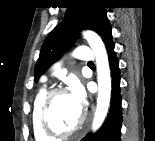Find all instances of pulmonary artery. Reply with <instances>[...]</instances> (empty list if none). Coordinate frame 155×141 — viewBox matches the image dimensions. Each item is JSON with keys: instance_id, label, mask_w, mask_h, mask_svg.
I'll use <instances>...</instances> for the list:
<instances>
[{"instance_id": "e3ab8cb5", "label": "pulmonary artery", "mask_w": 155, "mask_h": 141, "mask_svg": "<svg viewBox=\"0 0 155 141\" xmlns=\"http://www.w3.org/2000/svg\"><path fill=\"white\" fill-rule=\"evenodd\" d=\"M75 57L78 60H80L82 62H86V63H91L94 60L92 52H91L90 48L87 46L79 47L75 53Z\"/></svg>"}]
</instances>
